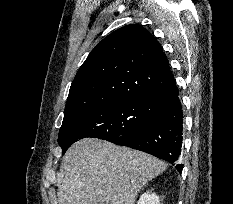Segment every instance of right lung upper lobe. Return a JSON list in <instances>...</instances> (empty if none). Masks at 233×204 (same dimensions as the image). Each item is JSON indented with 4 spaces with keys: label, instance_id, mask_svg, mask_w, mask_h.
Here are the masks:
<instances>
[{
    "label": "right lung upper lobe",
    "instance_id": "1",
    "mask_svg": "<svg viewBox=\"0 0 233 204\" xmlns=\"http://www.w3.org/2000/svg\"><path fill=\"white\" fill-rule=\"evenodd\" d=\"M173 82L160 43L142 26H124L100 41L80 67L70 87L60 129L101 106L152 96Z\"/></svg>",
    "mask_w": 233,
    "mask_h": 204
}]
</instances>
